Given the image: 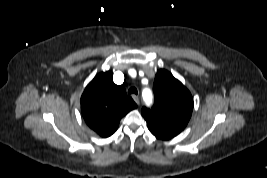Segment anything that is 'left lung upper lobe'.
Returning <instances> with one entry per match:
<instances>
[{
  "instance_id": "5c2ea615",
  "label": "left lung upper lobe",
  "mask_w": 267,
  "mask_h": 178,
  "mask_svg": "<svg viewBox=\"0 0 267 178\" xmlns=\"http://www.w3.org/2000/svg\"><path fill=\"white\" fill-rule=\"evenodd\" d=\"M153 92L154 105L143 107L142 115L155 137L169 140L186 127L193 110V98L189 90L164 69L157 71Z\"/></svg>"
}]
</instances>
